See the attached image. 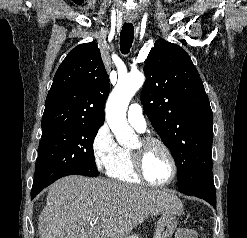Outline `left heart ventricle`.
Here are the masks:
<instances>
[{
  "mask_svg": "<svg viewBox=\"0 0 247 238\" xmlns=\"http://www.w3.org/2000/svg\"><path fill=\"white\" fill-rule=\"evenodd\" d=\"M137 146L138 141L134 144L133 148ZM143 168L148 179L153 182L166 181L172 172L167 154L157 145H151L145 150Z\"/></svg>",
  "mask_w": 247,
  "mask_h": 238,
  "instance_id": "b2bd125f",
  "label": "left heart ventricle"
}]
</instances>
